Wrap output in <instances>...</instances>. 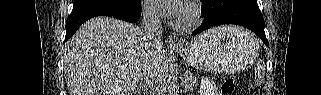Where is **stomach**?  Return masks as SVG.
<instances>
[{
  "label": "stomach",
  "instance_id": "1",
  "mask_svg": "<svg viewBox=\"0 0 321 95\" xmlns=\"http://www.w3.org/2000/svg\"><path fill=\"white\" fill-rule=\"evenodd\" d=\"M224 31L209 30L183 48L174 49L186 62L198 69L232 74L250 65L259 53L256 38L236 27Z\"/></svg>",
  "mask_w": 321,
  "mask_h": 95
}]
</instances>
